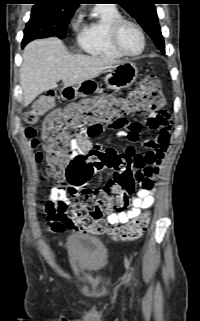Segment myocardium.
Wrapping results in <instances>:
<instances>
[{
	"label": "myocardium",
	"mask_w": 200,
	"mask_h": 321,
	"mask_svg": "<svg viewBox=\"0 0 200 321\" xmlns=\"http://www.w3.org/2000/svg\"><path fill=\"white\" fill-rule=\"evenodd\" d=\"M125 25L133 26L139 32V34L142 38V48L137 53L127 52L120 44V40H119L120 32ZM110 39H111V43H112L113 47L119 53H121L123 56H127V57L140 56L145 51V48H146V35H145L142 27L138 23H136L135 21L130 20V19L122 18V19L116 21L111 28Z\"/></svg>",
	"instance_id": "1"
}]
</instances>
